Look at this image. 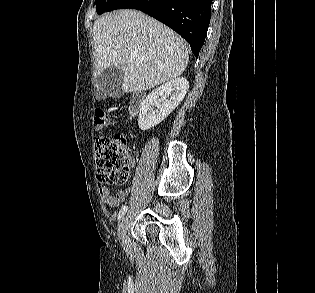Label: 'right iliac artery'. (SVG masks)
I'll return each instance as SVG.
<instances>
[{"instance_id": "obj_1", "label": "right iliac artery", "mask_w": 315, "mask_h": 293, "mask_svg": "<svg viewBox=\"0 0 315 293\" xmlns=\"http://www.w3.org/2000/svg\"><path fill=\"white\" fill-rule=\"evenodd\" d=\"M128 207L127 206H123L120 211H119V214H118V220H120L126 213Z\"/></svg>"}]
</instances>
